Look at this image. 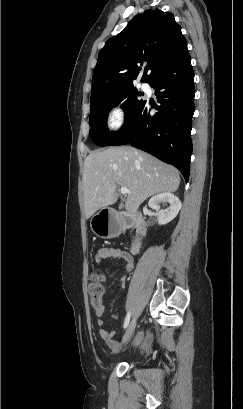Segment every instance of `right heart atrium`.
Segmentation results:
<instances>
[{
    "label": "right heart atrium",
    "mask_w": 243,
    "mask_h": 409,
    "mask_svg": "<svg viewBox=\"0 0 243 409\" xmlns=\"http://www.w3.org/2000/svg\"><path fill=\"white\" fill-rule=\"evenodd\" d=\"M126 121V108L123 103H113L107 113L106 124L111 131L122 128Z\"/></svg>",
    "instance_id": "d8ad5b80"
}]
</instances>
